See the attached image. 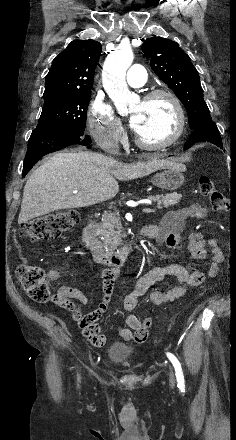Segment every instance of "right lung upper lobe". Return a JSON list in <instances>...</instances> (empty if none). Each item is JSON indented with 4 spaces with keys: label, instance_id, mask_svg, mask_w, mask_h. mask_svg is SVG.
<instances>
[{
    "label": "right lung upper lobe",
    "instance_id": "1",
    "mask_svg": "<svg viewBox=\"0 0 236 440\" xmlns=\"http://www.w3.org/2000/svg\"><path fill=\"white\" fill-rule=\"evenodd\" d=\"M101 44L74 40L52 62L45 80V103L91 93Z\"/></svg>",
    "mask_w": 236,
    "mask_h": 440
}]
</instances>
